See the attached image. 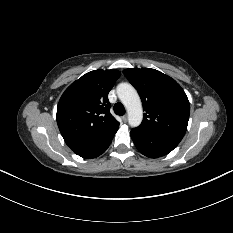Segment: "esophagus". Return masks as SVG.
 I'll list each match as a JSON object with an SVG mask.
<instances>
[{"label":"esophagus","mask_w":233,"mask_h":233,"mask_svg":"<svg viewBox=\"0 0 233 233\" xmlns=\"http://www.w3.org/2000/svg\"><path fill=\"white\" fill-rule=\"evenodd\" d=\"M122 119H123L124 122H126L127 119H128V116H127V115H124V116H122Z\"/></svg>","instance_id":"obj_1"}]
</instances>
